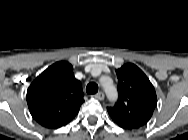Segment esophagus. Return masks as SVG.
<instances>
[{
	"label": "esophagus",
	"mask_w": 188,
	"mask_h": 140,
	"mask_svg": "<svg viewBox=\"0 0 188 140\" xmlns=\"http://www.w3.org/2000/svg\"><path fill=\"white\" fill-rule=\"evenodd\" d=\"M94 97L98 100H103L105 96L103 92H98L97 94L94 95Z\"/></svg>",
	"instance_id": "1"
}]
</instances>
